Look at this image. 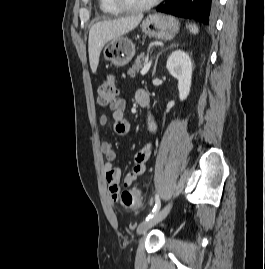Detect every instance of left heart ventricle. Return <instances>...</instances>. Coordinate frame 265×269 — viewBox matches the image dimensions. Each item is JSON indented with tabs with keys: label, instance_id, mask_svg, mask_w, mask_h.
<instances>
[{
	"label": "left heart ventricle",
	"instance_id": "obj_1",
	"mask_svg": "<svg viewBox=\"0 0 265 269\" xmlns=\"http://www.w3.org/2000/svg\"><path fill=\"white\" fill-rule=\"evenodd\" d=\"M125 1L128 3H131V4H142V3H146L150 0H125Z\"/></svg>",
	"mask_w": 265,
	"mask_h": 269
}]
</instances>
